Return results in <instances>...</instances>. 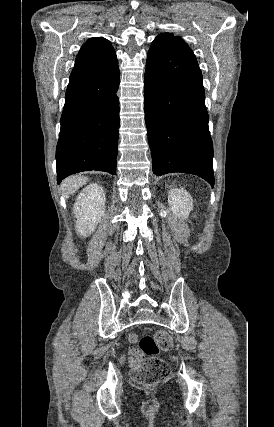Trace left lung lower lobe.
Returning <instances> with one entry per match:
<instances>
[{
  "label": "left lung lower lobe",
  "mask_w": 274,
  "mask_h": 427,
  "mask_svg": "<svg viewBox=\"0 0 274 427\" xmlns=\"http://www.w3.org/2000/svg\"><path fill=\"white\" fill-rule=\"evenodd\" d=\"M144 100L153 173L195 174L213 187V145L202 74L180 37H156L152 42Z\"/></svg>",
  "instance_id": "left-lung-lower-lobe-1"
}]
</instances>
